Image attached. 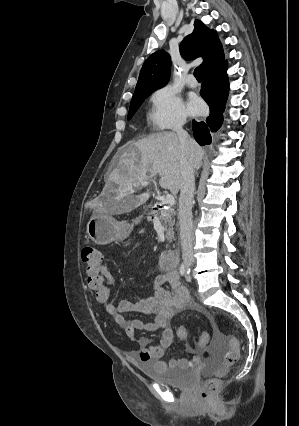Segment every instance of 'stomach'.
Returning a JSON list of instances; mask_svg holds the SVG:
<instances>
[{
	"label": "stomach",
	"mask_w": 299,
	"mask_h": 426,
	"mask_svg": "<svg viewBox=\"0 0 299 426\" xmlns=\"http://www.w3.org/2000/svg\"><path fill=\"white\" fill-rule=\"evenodd\" d=\"M130 231L131 226L127 222L118 221L110 214L104 212L93 214L87 223L88 236L100 245L123 240Z\"/></svg>",
	"instance_id": "stomach-1"
}]
</instances>
